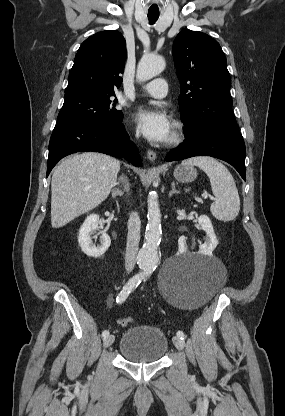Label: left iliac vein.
Instances as JSON below:
<instances>
[{"instance_id": "1", "label": "left iliac vein", "mask_w": 285, "mask_h": 416, "mask_svg": "<svg viewBox=\"0 0 285 416\" xmlns=\"http://www.w3.org/2000/svg\"><path fill=\"white\" fill-rule=\"evenodd\" d=\"M172 340L177 349L182 350L184 348L185 344L181 338H179L178 336H175L173 337Z\"/></svg>"}]
</instances>
